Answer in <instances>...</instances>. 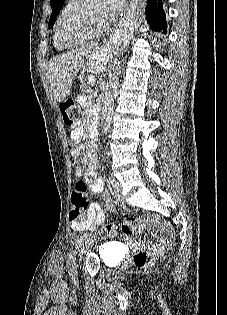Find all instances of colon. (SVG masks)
<instances>
[{
	"mask_svg": "<svg viewBox=\"0 0 227 315\" xmlns=\"http://www.w3.org/2000/svg\"><path fill=\"white\" fill-rule=\"evenodd\" d=\"M63 120L66 125L71 126L75 123L79 110L77 105L70 99L63 101L60 105ZM89 200L87 198V187L83 180H78L71 192L70 219L85 220L89 210ZM156 221L152 215L142 218L117 219L116 223H109L98 230L102 237H112L118 231L124 234H140ZM134 264L139 269H144L153 264L154 257L146 252H138L134 255Z\"/></svg>",
	"mask_w": 227,
	"mask_h": 315,
	"instance_id": "colon-1",
	"label": "colon"
}]
</instances>
